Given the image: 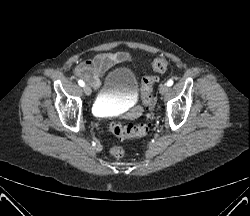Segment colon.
<instances>
[{
    "instance_id": "colon-1",
    "label": "colon",
    "mask_w": 250,
    "mask_h": 216,
    "mask_svg": "<svg viewBox=\"0 0 250 216\" xmlns=\"http://www.w3.org/2000/svg\"><path fill=\"white\" fill-rule=\"evenodd\" d=\"M168 68V61L165 58L155 59L152 63L153 74L145 75L141 80L140 97L144 105L146 106L148 113V119L153 117L154 98H153V86L158 81V77L155 73H163ZM110 131L120 139L140 138L148 134L150 130V123H139L137 125L123 126L116 123L109 125ZM111 154L115 158H122L125 155V151L122 147L114 146L111 148Z\"/></svg>"
}]
</instances>
